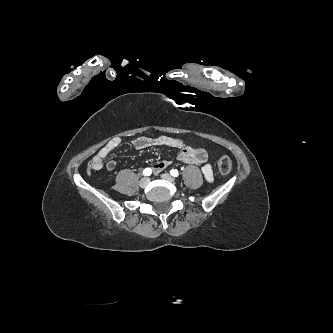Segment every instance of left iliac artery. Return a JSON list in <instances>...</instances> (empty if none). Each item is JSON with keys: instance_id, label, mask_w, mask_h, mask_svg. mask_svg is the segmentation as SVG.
Returning <instances> with one entry per match:
<instances>
[{"instance_id": "obj_1", "label": "left iliac artery", "mask_w": 333, "mask_h": 333, "mask_svg": "<svg viewBox=\"0 0 333 333\" xmlns=\"http://www.w3.org/2000/svg\"><path fill=\"white\" fill-rule=\"evenodd\" d=\"M170 174H171L173 177H177V176L179 175V172H178L177 169H172V170L170 171Z\"/></svg>"}]
</instances>
